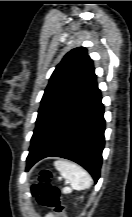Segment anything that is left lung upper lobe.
<instances>
[{
    "label": "left lung upper lobe",
    "mask_w": 132,
    "mask_h": 217,
    "mask_svg": "<svg viewBox=\"0 0 132 217\" xmlns=\"http://www.w3.org/2000/svg\"><path fill=\"white\" fill-rule=\"evenodd\" d=\"M93 62L84 47L68 52L56 66L41 100L29 151L49 125L94 81Z\"/></svg>",
    "instance_id": "5c2ea615"
}]
</instances>
